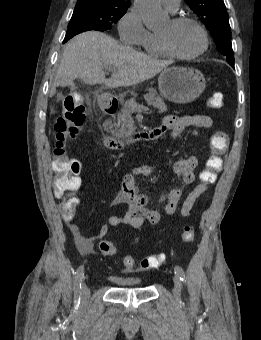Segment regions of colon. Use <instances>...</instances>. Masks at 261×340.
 Here are the masks:
<instances>
[{"label": "colon", "mask_w": 261, "mask_h": 340, "mask_svg": "<svg viewBox=\"0 0 261 340\" xmlns=\"http://www.w3.org/2000/svg\"><path fill=\"white\" fill-rule=\"evenodd\" d=\"M224 104L223 94L214 93L208 99L210 108H221ZM86 121V108L83 103L74 97H68L64 101L63 114L55 123V145L53 157V191L61 200V211L63 215H72L78 204L76 191L80 187L78 177L80 171L79 161L73 159L68 150L67 142L77 136ZM210 147L213 152L206 163V167L200 173L199 185L208 186L216 180L217 173L221 169L222 161L219 155L223 154L228 147V137L222 131H216L210 138ZM183 242H191L194 231L191 226H184L181 234ZM100 250L105 256L116 253V245L111 241H103ZM165 260V255L158 253L144 257L136 261L131 256L123 258V264L127 270L135 268L150 270L158 268Z\"/></svg>", "instance_id": "obj_1"}]
</instances>
